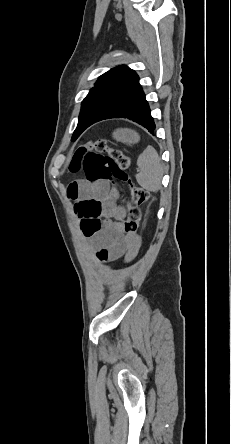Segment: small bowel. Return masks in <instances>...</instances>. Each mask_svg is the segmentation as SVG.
Listing matches in <instances>:
<instances>
[{"label": "small bowel", "instance_id": "1", "mask_svg": "<svg viewBox=\"0 0 231 444\" xmlns=\"http://www.w3.org/2000/svg\"><path fill=\"white\" fill-rule=\"evenodd\" d=\"M67 193L77 203L93 200L100 204L99 218H103V222L99 231L92 236L100 260L115 261L124 257L126 261H131L136 256L141 240L136 235L124 234L121 222L126 216V210L117 203L106 181H75L69 185Z\"/></svg>", "mask_w": 231, "mask_h": 444}]
</instances>
